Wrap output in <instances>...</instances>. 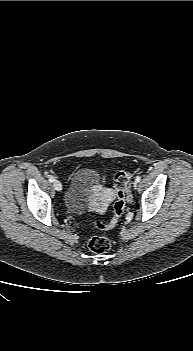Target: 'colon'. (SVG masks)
I'll return each instance as SVG.
<instances>
[{
	"label": "colon",
	"instance_id": "5ec220e1",
	"mask_svg": "<svg viewBox=\"0 0 193 351\" xmlns=\"http://www.w3.org/2000/svg\"><path fill=\"white\" fill-rule=\"evenodd\" d=\"M133 176L132 172L121 171L114 177V195L116 201L114 204L113 217L109 222L96 221L94 226L101 231L109 230L115 227L123 216L125 209V200L129 190V183ZM88 247L94 253H105L112 247V241L106 236H93L88 240Z\"/></svg>",
	"mask_w": 193,
	"mask_h": 351
}]
</instances>
